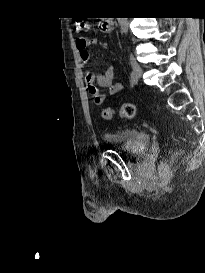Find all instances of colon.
<instances>
[{
  "instance_id": "colon-1",
  "label": "colon",
  "mask_w": 205,
  "mask_h": 273,
  "mask_svg": "<svg viewBox=\"0 0 205 273\" xmlns=\"http://www.w3.org/2000/svg\"><path fill=\"white\" fill-rule=\"evenodd\" d=\"M91 26V23L84 19H75L74 21V30L78 34L89 32L91 30ZM115 113L116 111L113 108H105L103 110V118L106 120H110L114 117ZM135 114L136 107L133 103L129 102L123 103L118 110V115L121 118L125 119H132L134 118Z\"/></svg>"
}]
</instances>
